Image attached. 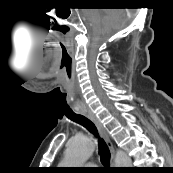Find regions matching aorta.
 <instances>
[{
  "instance_id": "obj_1",
  "label": "aorta",
  "mask_w": 173,
  "mask_h": 173,
  "mask_svg": "<svg viewBox=\"0 0 173 173\" xmlns=\"http://www.w3.org/2000/svg\"><path fill=\"white\" fill-rule=\"evenodd\" d=\"M95 149L94 142L87 136L76 137L69 143L62 162L65 167H80L92 155ZM116 167H131V158L122 150L115 155Z\"/></svg>"
}]
</instances>
